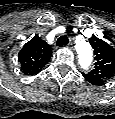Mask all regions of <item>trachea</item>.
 I'll return each mask as SVG.
<instances>
[{"label": "trachea", "mask_w": 115, "mask_h": 119, "mask_svg": "<svg viewBox=\"0 0 115 119\" xmlns=\"http://www.w3.org/2000/svg\"><path fill=\"white\" fill-rule=\"evenodd\" d=\"M68 42H69L68 37L63 35L58 38V40L56 42V46H58V47L66 46L68 44Z\"/></svg>", "instance_id": "1"}]
</instances>
